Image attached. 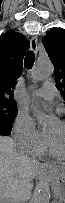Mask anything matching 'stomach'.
<instances>
[{
    "instance_id": "1",
    "label": "stomach",
    "mask_w": 65,
    "mask_h": 203,
    "mask_svg": "<svg viewBox=\"0 0 65 203\" xmlns=\"http://www.w3.org/2000/svg\"><path fill=\"white\" fill-rule=\"evenodd\" d=\"M54 194L59 203H65V166H49Z\"/></svg>"
}]
</instances>
